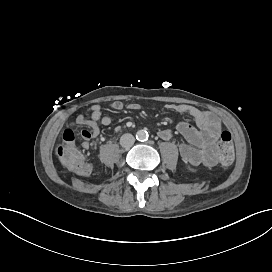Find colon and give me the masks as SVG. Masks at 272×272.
Here are the masks:
<instances>
[{"label": "colon", "mask_w": 272, "mask_h": 272, "mask_svg": "<svg viewBox=\"0 0 272 272\" xmlns=\"http://www.w3.org/2000/svg\"><path fill=\"white\" fill-rule=\"evenodd\" d=\"M76 146V134L71 129H64L59 134V146L56 153L59 157L58 163L60 166L67 168L70 172H77L86 175L90 172L91 167L85 163L84 157ZM213 157H218L221 164L229 166L232 164L235 156L232 136L229 132H222L219 139V144L211 154Z\"/></svg>", "instance_id": "colon-1"}]
</instances>
